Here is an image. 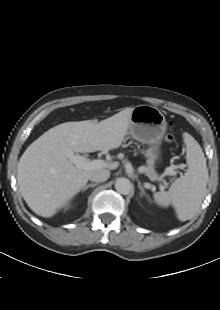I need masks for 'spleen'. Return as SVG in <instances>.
<instances>
[{"label":"spleen","mask_w":220,"mask_h":310,"mask_svg":"<svg viewBox=\"0 0 220 310\" xmlns=\"http://www.w3.org/2000/svg\"><path fill=\"white\" fill-rule=\"evenodd\" d=\"M188 170L175 180L169 191L154 195L155 202L162 206L172 205L180 221H186L196 214L206 193L208 169L200 145L188 133L184 134Z\"/></svg>","instance_id":"spleen-1"}]
</instances>
